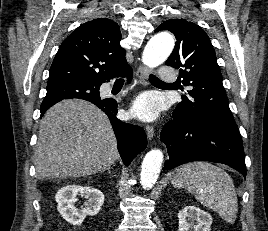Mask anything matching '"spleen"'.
Returning a JSON list of instances; mask_svg holds the SVG:
<instances>
[{"mask_svg":"<svg viewBox=\"0 0 268 231\" xmlns=\"http://www.w3.org/2000/svg\"><path fill=\"white\" fill-rule=\"evenodd\" d=\"M176 188H186L204 206L233 223L238 212L237 195L229 174L208 162L181 166L172 180Z\"/></svg>","mask_w":268,"mask_h":231,"instance_id":"spleen-1","label":"spleen"}]
</instances>
